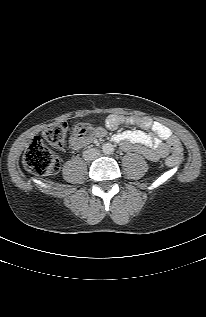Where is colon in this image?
<instances>
[{"label":"colon","mask_w":206,"mask_h":317,"mask_svg":"<svg viewBox=\"0 0 206 317\" xmlns=\"http://www.w3.org/2000/svg\"><path fill=\"white\" fill-rule=\"evenodd\" d=\"M72 139L81 142L87 141L97 134V130L90 124L80 123L72 128ZM70 131L66 122H57L44 129L41 137H35L23 155V165L31 173L40 176H53L59 172L60 162L58 157L50 150L49 146L62 148L66 143ZM171 155L166 164L170 167L179 165L183 159L182 147L176 137L169 141Z\"/></svg>","instance_id":"1"}]
</instances>
